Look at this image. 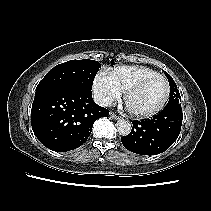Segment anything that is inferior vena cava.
Here are the masks:
<instances>
[{
	"label": "inferior vena cava",
	"mask_w": 211,
	"mask_h": 211,
	"mask_svg": "<svg viewBox=\"0 0 211 211\" xmlns=\"http://www.w3.org/2000/svg\"><path fill=\"white\" fill-rule=\"evenodd\" d=\"M94 101L100 105V106H103V107H107V106H110L112 104V100L107 98V97H104L100 94H96L94 95Z\"/></svg>",
	"instance_id": "inferior-vena-cava-1"
}]
</instances>
